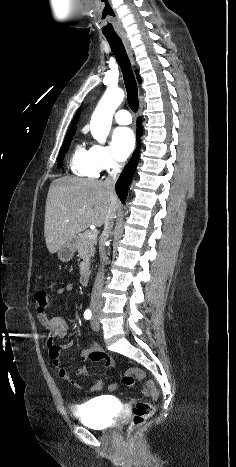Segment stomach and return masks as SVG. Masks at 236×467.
<instances>
[{
  "instance_id": "obj_1",
  "label": "stomach",
  "mask_w": 236,
  "mask_h": 467,
  "mask_svg": "<svg viewBox=\"0 0 236 467\" xmlns=\"http://www.w3.org/2000/svg\"><path fill=\"white\" fill-rule=\"evenodd\" d=\"M75 251L76 247L74 243L72 241H68L58 249V258L62 262H68L73 258Z\"/></svg>"
}]
</instances>
